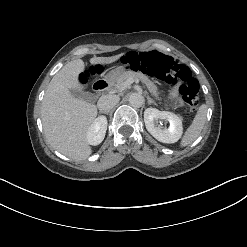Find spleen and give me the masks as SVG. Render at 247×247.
Masks as SVG:
<instances>
[{
    "instance_id": "obj_1",
    "label": "spleen",
    "mask_w": 247,
    "mask_h": 247,
    "mask_svg": "<svg viewBox=\"0 0 247 247\" xmlns=\"http://www.w3.org/2000/svg\"><path fill=\"white\" fill-rule=\"evenodd\" d=\"M207 114V106L205 104L201 105L197 111V114L191 123V125L187 128L182 137L180 146L185 147L195 141L198 136L201 134L202 129L204 128Z\"/></svg>"
}]
</instances>
